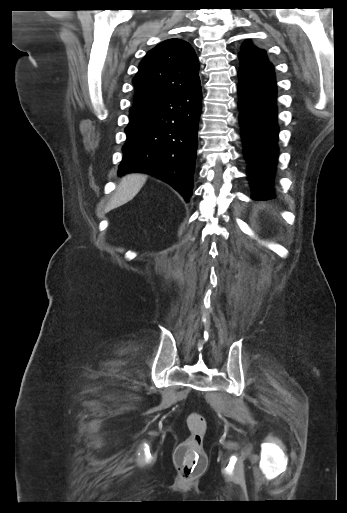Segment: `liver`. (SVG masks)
Wrapping results in <instances>:
<instances>
[{"mask_svg": "<svg viewBox=\"0 0 347 513\" xmlns=\"http://www.w3.org/2000/svg\"><path fill=\"white\" fill-rule=\"evenodd\" d=\"M146 178V175L140 173L128 174L123 177L106 210H112L131 201L141 190Z\"/></svg>", "mask_w": 347, "mask_h": 513, "instance_id": "obj_1", "label": "liver"}]
</instances>
